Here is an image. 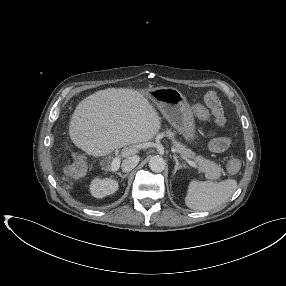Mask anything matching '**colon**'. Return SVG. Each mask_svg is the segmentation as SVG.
Listing matches in <instances>:
<instances>
[{
	"instance_id": "colon-1",
	"label": "colon",
	"mask_w": 286,
	"mask_h": 286,
	"mask_svg": "<svg viewBox=\"0 0 286 286\" xmlns=\"http://www.w3.org/2000/svg\"><path fill=\"white\" fill-rule=\"evenodd\" d=\"M205 103L207 107L211 110V112L218 113L222 111L221 105L217 99V97L214 95V93H208L205 96ZM201 117L206 120L208 118V113L207 112H202ZM240 168V163L237 159H231L228 162V170L231 173L237 172Z\"/></svg>"
}]
</instances>
